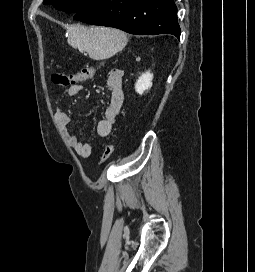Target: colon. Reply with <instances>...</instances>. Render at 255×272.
<instances>
[{
	"mask_svg": "<svg viewBox=\"0 0 255 272\" xmlns=\"http://www.w3.org/2000/svg\"><path fill=\"white\" fill-rule=\"evenodd\" d=\"M97 72L96 67H83L80 71L76 73L66 74L59 71H54L51 74V79L54 84L59 86H70L74 84L81 83L85 80H88L94 76V74ZM114 153V145L113 143H108L105 145L101 157H100V163L107 162Z\"/></svg>",
	"mask_w": 255,
	"mask_h": 272,
	"instance_id": "obj_1",
	"label": "colon"
}]
</instances>
